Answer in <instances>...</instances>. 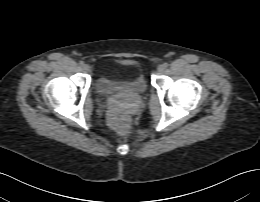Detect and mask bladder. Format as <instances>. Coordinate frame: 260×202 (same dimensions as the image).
I'll list each match as a JSON object with an SVG mask.
<instances>
[{
    "instance_id": "bladder-1",
    "label": "bladder",
    "mask_w": 260,
    "mask_h": 202,
    "mask_svg": "<svg viewBox=\"0 0 260 202\" xmlns=\"http://www.w3.org/2000/svg\"><path fill=\"white\" fill-rule=\"evenodd\" d=\"M95 86L103 94L125 92L131 95L143 96L147 92V82L142 74L126 79H117L107 74H101L96 79Z\"/></svg>"
}]
</instances>
